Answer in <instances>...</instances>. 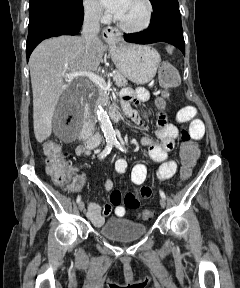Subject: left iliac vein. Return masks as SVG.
Masks as SVG:
<instances>
[{"label":"left iliac vein","instance_id":"left-iliac-vein-1","mask_svg":"<svg viewBox=\"0 0 240 288\" xmlns=\"http://www.w3.org/2000/svg\"><path fill=\"white\" fill-rule=\"evenodd\" d=\"M160 205L162 208H165V206H166L165 199H163V198L160 199Z\"/></svg>","mask_w":240,"mask_h":288}]
</instances>
